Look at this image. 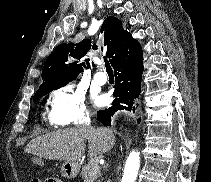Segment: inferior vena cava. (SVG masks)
I'll list each match as a JSON object with an SVG mask.
<instances>
[{
  "label": "inferior vena cava",
  "instance_id": "1",
  "mask_svg": "<svg viewBox=\"0 0 211 182\" xmlns=\"http://www.w3.org/2000/svg\"><path fill=\"white\" fill-rule=\"evenodd\" d=\"M89 115L86 114V116L83 119V123L81 125V127H83L84 131H90L91 134H96L99 133V130H97L96 126H89Z\"/></svg>",
  "mask_w": 211,
  "mask_h": 182
}]
</instances>
